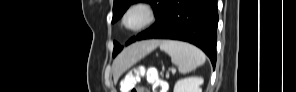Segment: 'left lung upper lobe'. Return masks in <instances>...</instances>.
<instances>
[{
  "label": "left lung upper lobe",
  "mask_w": 296,
  "mask_h": 92,
  "mask_svg": "<svg viewBox=\"0 0 296 92\" xmlns=\"http://www.w3.org/2000/svg\"><path fill=\"white\" fill-rule=\"evenodd\" d=\"M136 2H148L152 5L154 13L157 17L156 22L154 25H152L149 29L146 31L138 34L136 37L131 38L127 44L134 42L138 40L143 34L151 32L158 28L162 22L164 21L165 17V9L166 6L169 2V0H114V5H113V19L112 23L116 22L127 10V8ZM122 50V47L114 42V50H113V56H116L117 53H119Z\"/></svg>",
  "instance_id": "left-lung-upper-lobe-1"
}]
</instances>
